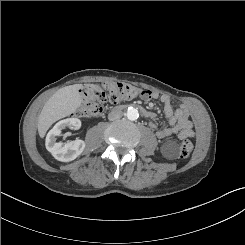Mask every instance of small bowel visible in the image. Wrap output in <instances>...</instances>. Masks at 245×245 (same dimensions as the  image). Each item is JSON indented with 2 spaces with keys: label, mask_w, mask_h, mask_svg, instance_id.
I'll list each match as a JSON object with an SVG mask.
<instances>
[{
  "label": "small bowel",
  "mask_w": 245,
  "mask_h": 245,
  "mask_svg": "<svg viewBox=\"0 0 245 245\" xmlns=\"http://www.w3.org/2000/svg\"><path fill=\"white\" fill-rule=\"evenodd\" d=\"M141 97L144 100L159 99L164 105V113L168 119V125L164 128L157 129V125L154 122L150 123L152 129H157L156 136L159 139L171 135H177L180 139H190L195 136L189 111L184 105L181 104L174 107L168 95H159L152 91H146V94ZM154 117L155 115L152 113L150 118L153 119Z\"/></svg>",
  "instance_id": "1"
}]
</instances>
